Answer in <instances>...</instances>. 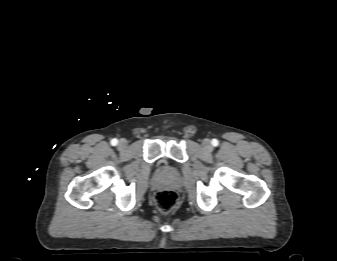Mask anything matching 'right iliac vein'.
Segmentation results:
<instances>
[{
    "mask_svg": "<svg viewBox=\"0 0 337 261\" xmlns=\"http://www.w3.org/2000/svg\"><path fill=\"white\" fill-rule=\"evenodd\" d=\"M127 140L126 139H121L118 143V147L120 149H125L127 147Z\"/></svg>",
    "mask_w": 337,
    "mask_h": 261,
    "instance_id": "1",
    "label": "right iliac vein"
}]
</instances>
